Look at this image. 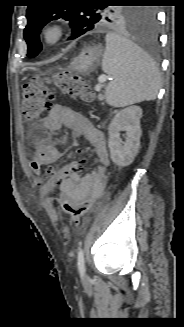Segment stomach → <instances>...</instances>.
I'll list each match as a JSON object with an SVG mask.
<instances>
[{
    "label": "stomach",
    "mask_w": 184,
    "mask_h": 327,
    "mask_svg": "<svg viewBox=\"0 0 184 327\" xmlns=\"http://www.w3.org/2000/svg\"><path fill=\"white\" fill-rule=\"evenodd\" d=\"M101 49L99 47H88L81 51V53L72 61L70 68L78 73L91 72L99 63L101 57Z\"/></svg>",
    "instance_id": "stomach-1"
}]
</instances>
